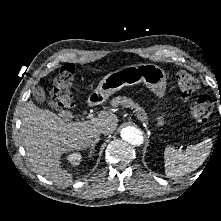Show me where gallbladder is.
<instances>
[{"label":"gallbladder","mask_w":221,"mask_h":221,"mask_svg":"<svg viewBox=\"0 0 221 221\" xmlns=\"http://www.w3.org/2000/svg\"><path fill=\"white\" fill-rule=\"evenodd\" d=\"M33 96L34 98L38 101V102H47L49 106H51L52 108L58 110L57 104L51 100H47L46 95H45V91L42 87H36L33 90ZM59 115L63 118V119H68L71 117V113L69 111H64L61 110Z\"/></svg>","instance_id":"1"}]
</instances>
